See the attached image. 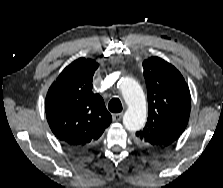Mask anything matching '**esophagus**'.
I'll list each match as a JSON object with an SVG mask.
<instances>
[{
  "label": "esophagus",
  "instance_id": "1",
  "mask_svg": "<svg viewBox=\"0 0 223 188\" xmlns=\"http://www.w3.org/2000/svg\"><path fill=\"white\" fill-rule=\"evenodd\" d=\"M122 117H123L122 112L121 113H115V114L112 115V118H113L114 121H120L122 119Z\"/></svg>",
  "mask_w": 223,
  "mask_h": 188
}]
</instances>
